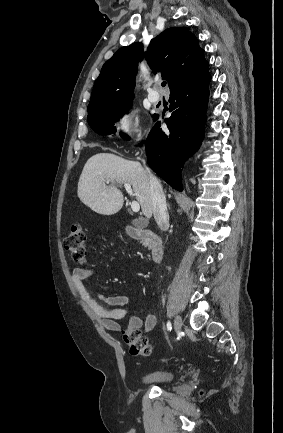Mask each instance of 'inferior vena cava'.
<instances>
[{
	"instance_id": "obj_1",
	"label": "inferior vena cava",
	"mask_w": 283,
	"mask_h": 433,
	"mask_svg": "<svg viewBox=\"0 0 283 433\" xmlns=\"http://www.w3.org/2000/svg\"><path fill=\"white\" fill-rule=\"evenodd\" d=\"M150 180V190L153 200L154 219L158 225H168L169 214L167 212L166 198L163 188L156 176L149 168H146Z\"/></svg>"
}]
</instances>
